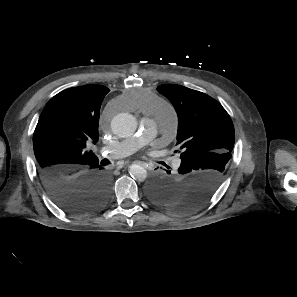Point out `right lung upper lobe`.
I'll return each instance as SVG.
<instances>
[{"label": "right lung upper lobe", "mask_w": 297, "mask_h": 297, "mask_svg": "<svg viewBox=\"0 0 297 297\" xmlns=\"http://www.w3.org/2000/svg\"><path fill=\"white\" fill-rule=\"evenodd\" d=\"M109 91L94 84L69 88L46 104L33 136L39 170L77 171L98 162L84 148L87 140L98 141L100 106Z\"/></svg>", "instance_id": "1"}]
</instances>
